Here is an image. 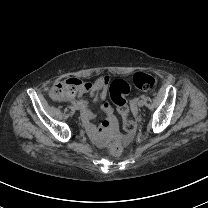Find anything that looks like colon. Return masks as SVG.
Listing matches in <instances>:
<instances>
[{
    "instance_id": "5ec220e1",
    "label": "colon",
    "mask_w": 208,
    "mask_h": 208,
    "mask_svg": "<svg viewBox=\"0 0 208 208\" xmlns=\"http://www.w3.org/2000/svg\"><path fill=\"white\" fill-rule=\"evenodd\" d=\"M72 82H66L65 86L69 90L70 94H74L78 87L83 85L88 88L89 84L80 80L71 79ZM134 85L139 91H150L156 84V80L153 76L145 73H136L133 78ZM131 91L130 84L123 79H115L110 85V96L115 104L116 111L122 120V128L126 132H131L135 128V123L129 118V110L127 105V96ZM107 146L109 149L119 151L121 149V142L112 138L108 141Z\"/></svg>"
}]
</instances>
